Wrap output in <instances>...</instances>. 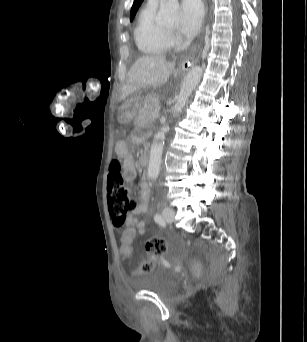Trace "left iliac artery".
<instances>
[{"label": "left iliac artery", "instance_id": "1", "mask_svg": "<svg viewBox=\"0 0 307 342\" xmlns=\"http://www.w3.org/2000/svg\"><path fill=\"white\" fill-rule=\"evenodd\" d=\"M154 220H155L156 222H158V223H160V222L163 221V219H162V217H161L160 214H156L155 217H154Z\"/></svg>", "mask_w": 307, "mask_h": 342}]
</instances>
